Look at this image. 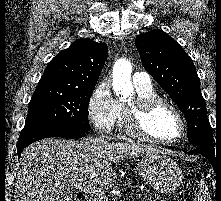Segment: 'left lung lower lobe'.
Listing matches in <instances>:
<instances>
[{"instance_id": "left-lung-lower-lobe-1", "label": "left lung lower lobe", "mask_w": 221, "mask_h": 201, "mask_svg": "<svg viewBox=\"0 0 221 201\" xmlns=\"http://www.w3.org/2000/svg\"><path fill=\"white\" fill-rule=\"evenodd\" d=\"M193 153H201L202 155H204L210 161L213 168L215 169L218 163V160H216L215 151H209L202 147H196L194 150L190 151L188 154H193Z\"/></svg>"}]
</instances>
